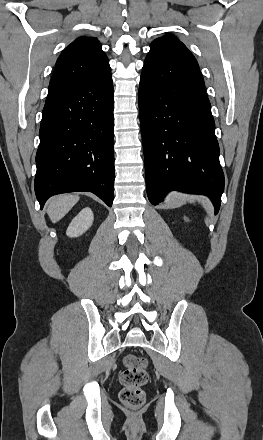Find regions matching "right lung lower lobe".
Listing matches in <instances>:
<instances>
[{
  "mask_svg": "<svg viewBox=\"0 0 263 440\" xmlns=\"http://www.w3.org/2000/svg\"><path fill=\"white\" fill-rule=\"evenodd\" d=\"M34 182L42 209L56 194L87 191L109 207L114 196L111 72L48 95Z\"/></svg>",
  "mask_w": 263,
  "mask_h": 440,
  "instance_id": "98d812e1",
  "label": "right lung lower lobe"
}]
</instances>
